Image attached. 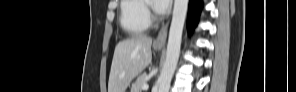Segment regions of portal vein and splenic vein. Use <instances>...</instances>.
<instances>
[{"mask_svg":"<svg viewBox=\"0 0 296 92\" xmlns=\"http://www.w3.org/2000/svg\"><path fill=\"white\" fill-rule=\"evenodd\" d=\"M148 88H149V85L146 84V83L142 86V89H143V90H146V89H148Z\"/></svg>","mask_w":296,"mask_h":92,"instance_id":"18ae733b","label":"portal vein and splenic vein"}]
</instances>
